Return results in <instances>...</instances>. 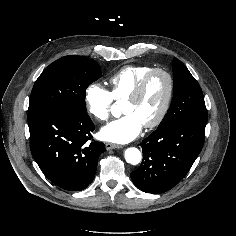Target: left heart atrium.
<instances>
[{
	"mask_svg": "<svg viewBox=\"0 0 236 236\" xmlns=\"http://www.w3.org/2000/svg\"><path fill=\"white\" fill-rule=\"evenodd\" d=\"M143 125L136 114L130 113L104 126L99 135L105 141L124 144L134 140Z\"/></svg>",
	"mask_w": 236,
	"mask_h": 236,
	"instance_id": "39dd6f15",
	"label": "left heart atrium"
}]
</instances>
